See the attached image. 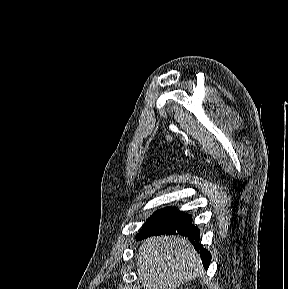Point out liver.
<instances>
[{"label":"liver","instance_id":"liver-1","mask_svg":"<svg viewBox=\"0 0 288 289\" xmlns=\"http://www.w3.org/2000/svg\"><path fill=\"white\" fill-rule=\"evenodd\" d=\"M200 255L182 236H154L142 242L137 272L144 289H175L201 272Z\"/></svg>","mask_w":288,"mask_h":289}]
</instances>
